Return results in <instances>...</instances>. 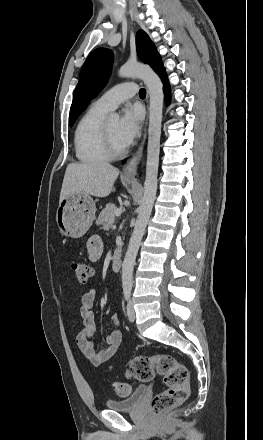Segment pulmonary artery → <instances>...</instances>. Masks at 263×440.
Here are the masks:
<instances>
[{
  "instance_id": "pulmonary-artery-1",
  "label": "pulmonary artery",
  "mask_w": 263,
  "mask_h": 440,
  "mask_svg": "<svg viewBox=\"0 0 263 440\" xmlns=\"http://www.w3.org/2000/svg\"><path fill=\"white\" fill-rule=\"evenodd\" d=\"M137 92V84L133 82L121 83L106 91L95 103L108 111L114 110L119 104L135 96Z\"/></svg>"
}]
</instances>
